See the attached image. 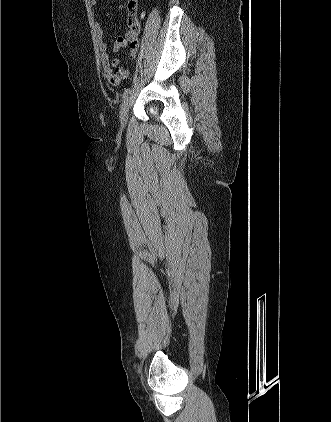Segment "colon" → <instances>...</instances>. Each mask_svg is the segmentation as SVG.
<instances>
[{"label":"colon","mask_w":331,"mask_h":422,"mask_svg":"<svg viewBox=\"0 0 331 422\" xmlns=\"http://www.w3.org/2000/svg\"><path fill=\"white\" fill-rule=\"evenodd\" d=\"M128 9H129V17L131 21L137 20V14L135 9V2L134 0H130L128 3Z\"/></svg>","instance_id":"obj_1"}]
</instances>
